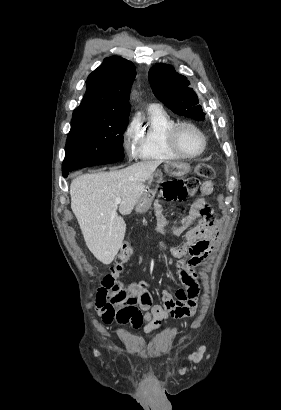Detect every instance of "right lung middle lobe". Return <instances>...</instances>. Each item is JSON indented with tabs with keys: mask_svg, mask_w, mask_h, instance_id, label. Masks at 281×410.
<instances>
[{
	"mask_svg": "<svg viewBox=\"0 0 281 410\" xmlns=\"http://www.w3.org/2000/svg\"><path fill=\"white\" fill-rule=\"evenodd\" d=\"M128 116L89 108L75 109L66 141L62 171L70 172L123 159V133L128 124Z\"/></svg>",
	"mask_w": 281,
	"mask_h": 410,
	"instance_id": "dd1d6c3e",
	"label": "right lung middle lobe"
}]
</instances>
